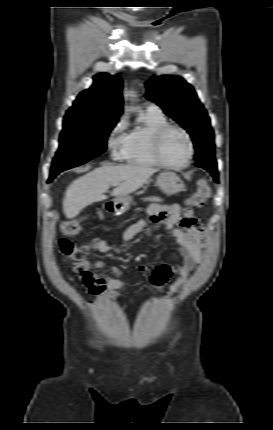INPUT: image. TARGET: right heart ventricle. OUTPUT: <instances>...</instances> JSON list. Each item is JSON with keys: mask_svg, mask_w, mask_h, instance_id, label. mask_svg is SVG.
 <instances>
[{"mask_svg": "<svg viewBox=\"0 0 273 430\" xmlns=\"http://www.w3.org/2000/svg\"><path fill=\"white\" fill-rule=\"evenodd\" d=\"M167 123L161 111L147 109L142 112L137 124L126 134L127 148L124 160L137 167L159 166L152 153V137L159 127Z\"/></svg>", "mask_w": 273, "mask_h": 430, "instance_id": "1", "label": "right heart ventricle"}]
</instances>
